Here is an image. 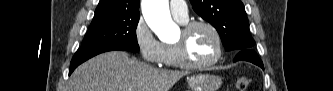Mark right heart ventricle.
I'll list each match as a JSON object with an SVG mask.
<instances>
[{"label": "right heart ventricle", "mask_w": 333, "mask_h": 91, "mask_svg": "<svg viewBox=\"0 0 333 91\" xmlns=\"http://www.w3.org/2000/svg\"><path fill=\"white\" fill-rule=\"evenodd\" d=\"M181 23H185L186 21H179ZM164 47V55L162 64L167 66H179L177 57H176V49L173 44H163Z\"/></svg>", "instance_id": "obj_1"}]
</instances>
